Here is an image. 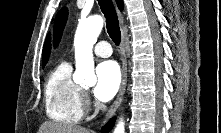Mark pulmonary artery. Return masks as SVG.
I'll list each match as a JSON object with an SVG mask.
<instances>
[{
    "label": "pulmonary artery",
    "instance_id": "obj_1",
    "mask_svg": "<svg viewBox=\"0 0 221 133\" xmlns=\"http://www.w3.org/2000/svg\"><path fill=\"white\" fill-rule=\"evenodd\" d=\"M96 56L107 58L112 54V48L108 41H100L94 48Z\"/></svg>",
    "mask_w": 221,
    "mask_h": 133
}]
</instances>
